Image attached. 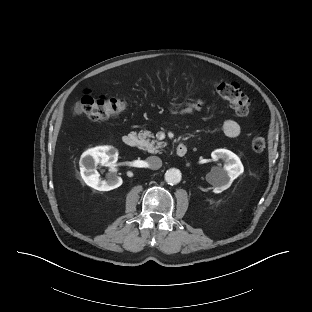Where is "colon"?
<instances>
[{
  "mask_svg": "<svg viewBox=\"0 0 312 312\" xmlns=\"http://www.w3.org/2000/svg\"><path fill=\"white\" fill-rule=\"evenodd\" d=\"M218 94L229 102L238 117H245L250 112V100L240 90L235 82L221 81L216 84ZM125 108L124 100L106 95L85 93L78 105V111L83 112L90 120H106L120 115ZM255 152H262L266 148V139L256 136L251 141Z\"/></svg>",
  "mask_w": 312,
  "mask_h": 312,
  "instance_id": "colon-1",
  "label": "colon"
}]
</instances>
